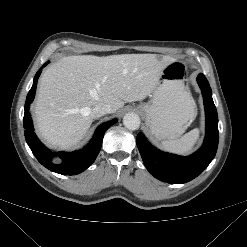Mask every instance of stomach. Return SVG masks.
Segmentation results:
<instances>
[{
    "instance_id": "0dacf381",
    "label": "stomach",
    "mask_w": 247,
    "mask_h": 247,
    "mask_svg": "<svg viewBox=\"0 0 247 247\" xmlns=\"http://www.w3.org/2000/svg\"><path fill=\"white\" fill-rule=\"evenodd\" d=\"M185 73L184 65L178 61L167 65L151 92V100L138 107L151 134L158 139L179 138L196 116L183 83Z\"/></svg>"
}]
</instances>
